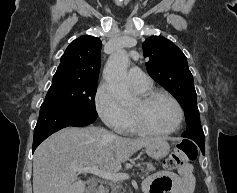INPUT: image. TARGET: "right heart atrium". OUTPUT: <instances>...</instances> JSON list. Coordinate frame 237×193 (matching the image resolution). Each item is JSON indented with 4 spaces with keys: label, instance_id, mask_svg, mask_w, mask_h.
Here are the masks:
<instances>
[{
    "label": "right heart atrium",
    "instance_id": "d8ad5b80",
    "mask_svg": "<svg viewBox=\"0 0 237 193\" xmlns=\"http://www.w3.org/2000/svg\"><path fill=\"white\" fill-rule=\"evenodd\" d=\"M96 111L101 120L116 132H123L127 123V111L110 92L105 84H100L94 96Z\"/></svg>",
    "mask_w": 237,
    "mask_h": 193
}]
</instances>
